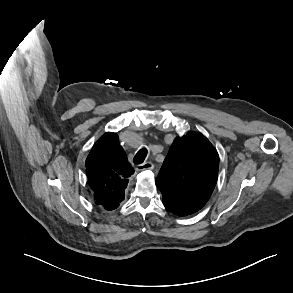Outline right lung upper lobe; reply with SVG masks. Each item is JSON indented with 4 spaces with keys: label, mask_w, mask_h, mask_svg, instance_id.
<instances>
[{
    "label": "right lung upper lobe",
    "mask_w": 293,
    "mask_h": 293,
    "mask_svg": "<svg viewBox=\"0 0 293 293\" xmlns=\"http://www.w3.org/2000/svg\"><path fill=\"white\" fill-rule=\"evenodd\" d=\"M86 173L96 204L108 211L116 209L124 200L128 177L134 169L115 133H105L94 144L86 159Z\"/></svg>",
    "instance_id": "obj_1"
}]
</instances>
